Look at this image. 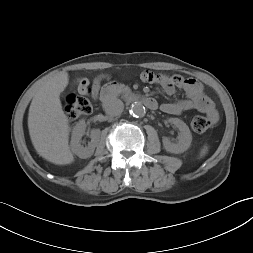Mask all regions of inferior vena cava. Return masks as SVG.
Returning <instances> with one entry per match:
<instances>
[{"mask_svg":"<svg viewBox=\"0 0 253 253\" xmlns=\"http://www.w3.org/2000/svg\"><path fill=\"white\" fill-rule=\"evenodd\" d=\"M105 112L112 116H119L124 109V104L120 99H111L104 105Z\"/></svg>","mask_w":253,"mask_h":253,"instance_id":"inferior-vena-cava-1","label":"inferior vena cava"}]
</instances>
